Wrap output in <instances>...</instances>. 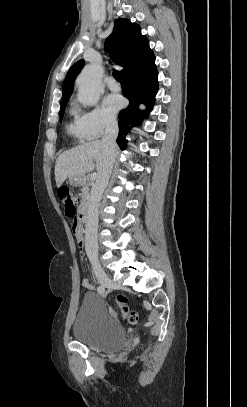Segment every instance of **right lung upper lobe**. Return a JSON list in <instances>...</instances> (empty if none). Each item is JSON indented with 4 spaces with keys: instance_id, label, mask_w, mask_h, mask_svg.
Listing matches in <instances>:
<instances>
[{
    "instance_id": "obj_1",
    "label": "right lung upper lobe",
    "mask_w": 247,
    "mask_h": 407,
    "mask_svg": "<svg viewBox=\"0 0 247 407\" xmlns=\"http://www.w3.org/2000/svg\"><path fill=\"white\" fill-rule=\"evenodd\" d=\"M105 49L113 60L123 66L121 74L153 56L147 38L141 34L140 27L129 19H117L111 35L105 41ZM84 66V60L75 63L68 71L63 84L62 102L68 101L76 76ZM61 102V103H62Z\"/></svg>"
}]
</instances>
